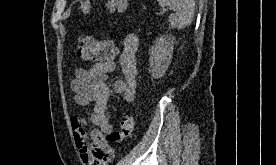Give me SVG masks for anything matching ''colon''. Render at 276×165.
<instances>
[{
	"label": "colon",
	"instance_id": "obj_1",
	"mask_svg": "<svg viewBox=\"0 0 276 165\" xmlns=\"http://www.w3.org/2000/svg\"><path fill=\"white\" fill-rule=\"evenodd\" d=\"M129 0H107L106 8L109 12H123ZM77 55L88 61H107L115 57L117 47L113 40H96L90 36L78 38L76 46ZM135 121L132 115H123L118 130L106 135V142H117L130 137L134 131Z\"/></svg>",
	"mask_w": 276,
	"mask_h": 165
}]
</instances>
